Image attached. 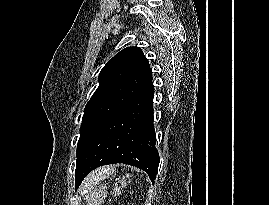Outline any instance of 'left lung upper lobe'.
<instances>
[{
  "label": "left lung upper lobe",
  "instance_id": "left-lung-upper-lobe-1",
  "mask_svg": "<svg viewBox=\"0 0 269 205\" xmlns=\"http://www.w3.org/2000/svg\"><path fill=\"white\" fill-rule=\"evenodd\" d=\"M98 81L84 110L77 161L94 134L152 83V70L139 47H127L106 63Z\"/></svg>",
  "mask_w": 269,
  "mask_h": 205
}]
</instances>
